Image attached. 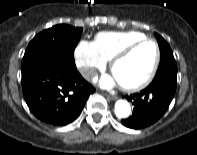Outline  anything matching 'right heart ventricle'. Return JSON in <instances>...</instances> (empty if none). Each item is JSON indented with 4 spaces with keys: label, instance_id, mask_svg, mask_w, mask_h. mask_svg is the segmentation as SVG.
I'll return each mask as SVG.
<instances>
[{
    "label": "right heart ventricle",
    "instance_id": "1",
    "mask_svg": "<svg viewBox=\"0 0 197 155\" xmlns=\"http://www.w3.org/2000/svg\"><path fill=\"white\" fill-rule=\"evenodd\" d=\"M143 38L146 35L135 30L102 31L96 34L94 43L103 56L110 60L121 48Z\"/></svg>",
    "mask_w": 197,
    "mask_h": 155
}]
</instances>
